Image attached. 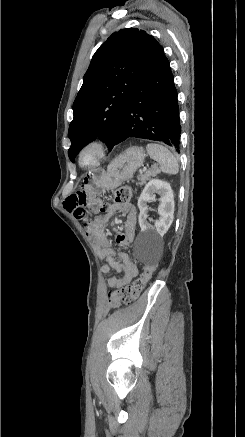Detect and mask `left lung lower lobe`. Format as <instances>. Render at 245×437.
<instances>
[{"label":"left lung lower lobe","mask_w":245,"mask_h":437,"mask_svg":"<svg viewBox=\"0 0 245 437\" xmlns=\"http://www.w3.org/2000/svg\"><path fill=\"white\" fill-rule=\"evenodd\" d=\"M180 128L174 78L160 45L125 105L113 146L136 137L161 141L179 152Z\"/></svg>","instance_id":"obj_1"}]
</instances>
